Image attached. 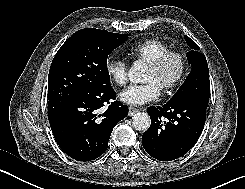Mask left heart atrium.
Listing matches in <instances>:
<instances>
[{"label":"left heart atrium","mask_w":245,"mask_h":189,"mask_svg":"<svg viewBox=\"0 0 245 189\" xmlns=\"http://www.w3.org/2000/svg\"><path fill=\"white\" fill-rule=\"evenodd\" d=\"M161 89L153 81L141 85H130L120 93L122 102L130 105H142L155 100Z\"/></svg>","instance_id":"obj_1"}]
</instances>
